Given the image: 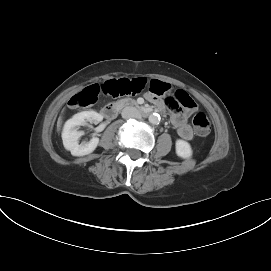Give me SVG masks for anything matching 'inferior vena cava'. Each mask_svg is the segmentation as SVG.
<instances>
[{
	"label": "inferior vena cava",
	"mask_w": 271,
	"mask_h": 271,
	"mask_svg": "<svg viewBox=\"0 0 271 271\" xmlns=\"http://www.w3.org/2000/svg\"><path fill=\"white\" fill-rule=\"evenodd\" d=\"M122 117L124 119H129V118H141L140 112L132 106H127L122 110Z\"/></svg>",
	"instance_id": "inferior-vena-cava-1"
}]
</instances>
